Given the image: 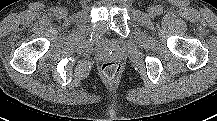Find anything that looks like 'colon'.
I'll list each match as a JSON object with an SVG mask.
<instances>
[{
    "instance_id": "5ec220e1",
    "label": "colon",
    "mask_w": 217,
    "mask_h": 121,
    "mask_svg": "<svg viewBox=\"0 0 217 121\" xmlns=\"http://www.w3.org/2000/svg\"><path fill=\"white\" fill-rule=\"evenodd\" d=\"M120 71H121V66L118 62L115 61L105 62L101 66V72L103 76L107 79H113L117 77Z\"/></svg>"
}]
</instances>
